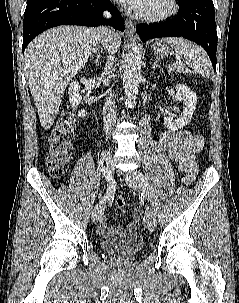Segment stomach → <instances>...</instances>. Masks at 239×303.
<instances>
[{"instance_id": "1", "label": "stomach", "mask_w": 239, "mask_h": 303, "mask_svg": "<svg viewBox=\"0 0 239 303\" xmlns=\"http://www.w3.org/2000/svg\"><path fill=\"white\" fill-rule=\"evenodd\" d=\"M153 51L158 58H164L168 55L167 46L158 42L153 45Z\"/></svg>"}]
</instances>
